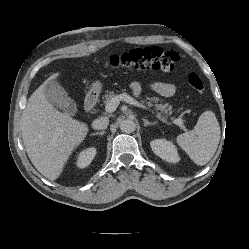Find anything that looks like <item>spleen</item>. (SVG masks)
I'll return each instance as SVG.
<instances>
[{
    "label": "spleen",
    "mask_w": 249,
    "mask_h": 249,
    "mask_svg": "<svg viewBox=\"0 0 249 249\" xmlns=\"http://www.w3.org/2000/svg\"><path fill=\"white\" fill-rule=\"evenodd\" d=\"M220 134L218 120L215 114L208 110L200 115L192 131L178 135L176 141L195 164L203 166L214 156Z\"/></svg>",
    "instance_id": "spleen-1"
}]
</instances>
